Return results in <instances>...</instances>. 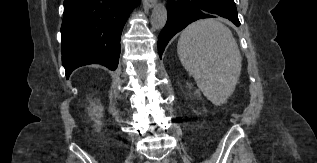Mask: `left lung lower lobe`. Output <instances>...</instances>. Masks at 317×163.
<instances>
[{
  "label": "left lung lower lobe",
  "instance_id": "0a47b994",
  "mask_svg": "<svg viewBox=\"0 0 317 163\" xmlns=\"http://www.w3.org/2000/svg\"><path fill=\"white\" fill-rule=\"evenodd\" d=\"M168 19L158 39L160 58L169 40L198 19L224 17L240 25L234 0H168Z\"/></svg>",
  "mask_w": 317,
  "mask_h": 163
}]
</instances>
